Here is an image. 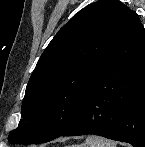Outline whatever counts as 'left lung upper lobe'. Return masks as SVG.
Listing matches in <instances>:
<instances>
[{"label":"left lung upper lobe","mask_w":145,"mask_h":147,"mask_svg":"<svg viewBox=\"0 0 145 147\" xmlns=\"http://www.w3.org/2000/svg\"><path fill=\"white\" fill-rule=\"evenodd\" d=\"M129 10L118 0H99L60 29L30 77L22 102V119L10 132V143L48 142L72 126Z\"/></svg>","instance_id":"5c2ea615"}]
</instances>
